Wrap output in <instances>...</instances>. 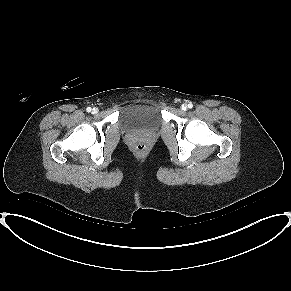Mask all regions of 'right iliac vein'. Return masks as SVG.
<instances>
[{
	"label": "right iliac vein",
	"instance_id": "1",
	"mask_svg": "<svg viewBox=\"0 0 291 291\" xmlns=\"http://www.w3.org/2000/svg\"><path fill=\"white\" fill-rule=\"evenodd\" d=\"M98 112V109L97 108H94L93 110H92V113L93 114H96Z\"/></svg>",
	"mask_w": 291,
	"mask_h": 291
}]
</instances>
